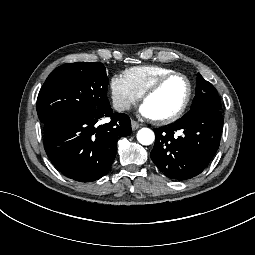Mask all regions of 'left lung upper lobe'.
I'll return each instance as SVG.
<instances>
[{"label":"left lung upper lobe","instance_id":"5c2ea615","mask_svg":"<svg viewBox=\"0 0 255 255\" xmlns=\"http://www.w3.org/2000/svg\"><path fill=\"white\" fill-rule=\"evenodd\" d=\"M198 106H208L218 110L221 109V102L215 87L200 74L197 76L196 94L191 109Z\"/></svg>","mask_w":255,"mask_h":255}]
</instances>
